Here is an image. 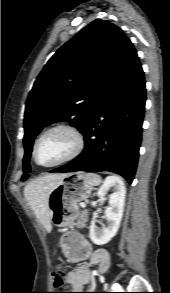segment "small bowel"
<instances>
[{"label": "small bowel", "instance_id": "c3829d8e", "mask_svg": "<svg viewBox=\"0 0 170 293\" xmlns=\"http://www.w3.org/2000/svg\"><path fill=\"white\" fill-rule=\"evenodd\" d=\"M63 250L66 258L70 261L80 262L89 260L92 266L97 267V273H104L110 267L109 254L104 249L92 250L87 239L77 231H67L62 237ZM92 279L89 267L80 264L69 272L67 284L74 293H80L84 286Z\"/></svg>", "mask_w": 170, "mask_h": 293}]
</instances>
